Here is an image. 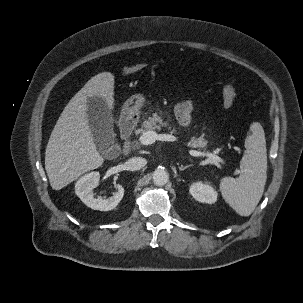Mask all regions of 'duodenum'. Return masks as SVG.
<instances>
[{"label": "duodenum", "mask_w": 303, "mask_h": 303, "mask_svg": "<svg viewBox=\"0 0 303 303\" xmlns=\"http://www.w3.org/2000/svg\"><path fill=\"white\" fill-rule=\"evenodd\" d=\"M136 122L133 118L127 116L121 122V136L123 139L122 154L127 155L130 150V137L135 128Z\"/></svg>", "instance_id": "1"}]
</instances>
